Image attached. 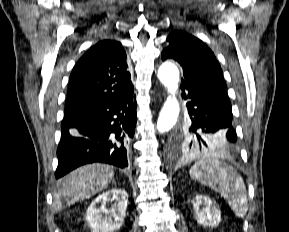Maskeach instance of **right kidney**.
Returning a JSON list of instances; mask_svg holds the SVG:
<instances>
[{
  "mask_svg": "<svg viewBox=\"0 0 289 232\" xmlns=\"http://www.w3.org/2000/svg\"><path fill=\"white\" fill-rule=\"evenodd\" d=\"M128 193L112 188L96 197L86 212L92 232H114L120 229L126 215Z\"/></svg>",
  "mask_w": 289,
  "mask_h": 232,
  "instance_id": "ca27d5eb",
  "label": "right kidney"
}]
</instances>
